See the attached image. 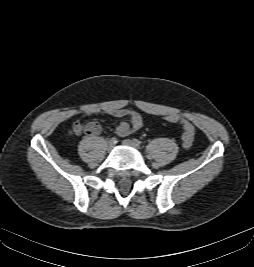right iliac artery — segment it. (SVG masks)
Wrapping results in <instances>:
<instances>
[{"label": "right iliac artery", "instance_id": "right-iliac-artery-1", "mask_svg": "<svg viewBox=\"0 0 254 267\" xmlns=\"http://www.w3.org/2000/svg\"><path fill=\"white\" fill-rule=\"evenodd\" d=\"M117 143V138L116 137H112L109 141V144H113L115 145Z\"/></svg>", "mask_w": 254, "mask_h": 267}]
</instances>
